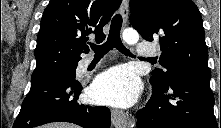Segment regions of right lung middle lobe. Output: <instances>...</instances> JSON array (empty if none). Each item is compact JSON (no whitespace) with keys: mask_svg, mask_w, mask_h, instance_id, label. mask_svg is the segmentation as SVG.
<instances>
[{"mask_svg":"<svg viewBox=\"0 0 221 128\" xmlns=\"http://www.w3.org/2000/svg\"><path fill=\"white\" fill-rule=\"evenodd\" d=\"M76 67H77V65L68 66V67L62 68V69H60V70H58V71H56L52 74L58 73V74H61V75L72 76V75H75ZM43 77H46V76H32L31 80L35 81V80H38V79L43 78Z\"/></svg>","mask_w":221,"mask_h":128,"instance_id":"1","label":"right lung middle lobe"}]
</instances>
